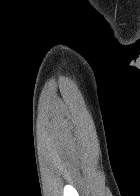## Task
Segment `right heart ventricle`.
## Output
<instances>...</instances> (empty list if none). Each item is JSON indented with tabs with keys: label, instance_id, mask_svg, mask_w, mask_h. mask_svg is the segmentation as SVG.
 Returning <instances> with one entry per match:
<instances>
[{
	"label": "right heart ventricle",
	"instance_id": "right-heart-ventricle-1",
	"mask_svg": "<svg viewBox=\"0 0 140 196\" xmlns=\"http://www.w3.org/2000/svg\"><path fill=\"white\" fill-rule=\"evenodd\" d=\"M96 192H107V191H96Z\"/></svg>",
	"mask_w": 140,
	"mask_h": 196
}]
</instances>
